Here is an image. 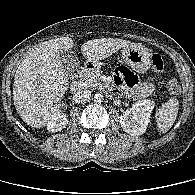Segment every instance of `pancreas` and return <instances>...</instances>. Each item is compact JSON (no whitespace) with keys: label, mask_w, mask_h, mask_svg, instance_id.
<instances>
[{"label":"pancreas","mask_w":195,"mask_h":195,"mask_svg":"<svg viewBox=\"0 0 195 195\" xmlns=\"http://www.w3.org/2000/svg\"><path fill=\"white\" fill-rule=\"evenodd\" d=\"M100 75L101 72L99 70L84 74L80 80V85L90 90L102 89L103 85L99 82Z\"/></svg>","instance_id":"cf45deb5"}]
</instances>
